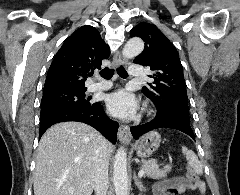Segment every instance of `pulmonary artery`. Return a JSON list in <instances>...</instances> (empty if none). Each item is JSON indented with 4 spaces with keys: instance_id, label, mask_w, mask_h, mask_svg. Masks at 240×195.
Listing matches in <instances>:
<instances>
[{
    "instance_id": "e3ab8cb5",
    "label": "pulmonary artery",
    "mask_w": 240,
    "mask_h": 195,
    "mask_svg": "<svg viewBox=\"0 0 240 195\" xmlns=\"http://www.w3.org/2000/svg\"><path fill=\"white\" fill-rule=\"evenodd\" d=\"M145 69L144 65H131L129 73L131 74V78H138V76H148V71H142ZM111 86L109 81L105 80H97L88 86V92H97L106 90Z\"/></svg>"
}]
</instances>
